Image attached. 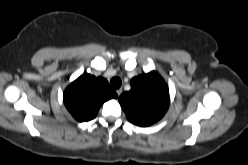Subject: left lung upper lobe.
Wrapping results in <instances>:
<instances>
[{"label":"left lung upper lobe","mask_w":248,"mask_h":165,"mask_svg":"<svg viewBox=\"0 0 248 165\" xmlns=\"http://www.w3.org/2000/svg\"><path fill=\"white\" fill-rule=\"evenodd\" d=\"M127 119L138 126L160 120L169 106V90L158 73L152 71L131 80V90L119 97Z\"/></svg>","instance_id":"obj_1"}]
</instances>
